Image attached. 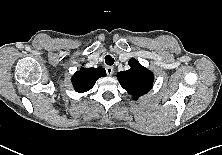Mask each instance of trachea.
Wrapping results in <instances>:
<instances>
[{
  "mask_svg": "<svg viewBox=\"0 0 222 155\" xmlns=\"http://www.w3.org/2000/svg\"><path fill=\"white\" fill-rule=\"evenodd\" d=\"M105 63L107 65H113L114 63V58L111 55H106L105 56Z\"/></svg>",
  "mask_w": 222,
  "mask_h": 155,
  "instance_id": "obj_1",
  "label": "trachea"
}]
</instances>
